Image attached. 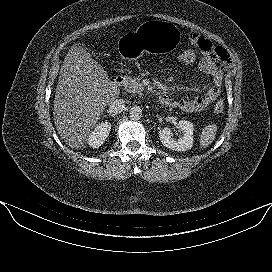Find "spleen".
Returning <instances> with one entry per match:
<instances>
[{"instance_id":"1","label":"spleen","mask_w":272,"mask_h":272,"mask_svg":"<svg viewBox=\"0 0 272 272\" xmlns=\"http://www.w3.org/2000/svg\"><path fill=\"white\" fill-rule=\"evenodd\" d=\"M216 131L217 126L214 124L205 126L202 129L199 141L201 148L206 149L207 147H209V145L212 144L216 136Z\"/></svg>"}]
</instances>
